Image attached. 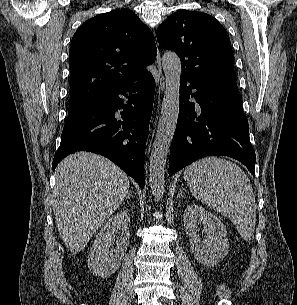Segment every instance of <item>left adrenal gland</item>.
<instances>
[{
    "instance_id": "obj_1",
    "label": "left adrenal gland",
    "mask_w": 297,
    "mask_h": 305,
    "mask_svg": "<svg viewBox=\"0 0 297 305\" xmlns=\"http://www.w3.org/2000/svg\"><path fill=\"white\" fill-rule=\"evenodd\" d=\"M183 190H184V189H182V188L180 189V194H181V195H182V191H183Z\"/></svg>"
}]
</instances>
